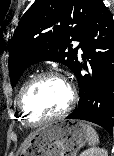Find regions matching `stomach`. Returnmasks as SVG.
Segmentation results:
<instances>
[{"label": "stomach", "instance_id": "1", "mask_svg": "<svg viewBox=\"0 0 114 156\" xmlns=\"http://www.w3.org/2000/svg\"><path fill=\"white\" fill-rule=\"evenodd\" d=\"M87 141L82 121L54 122L36 131L20 156H75Z\"/></svg>", "mask_w": 114, "mask_h": 156}]
</instances>
